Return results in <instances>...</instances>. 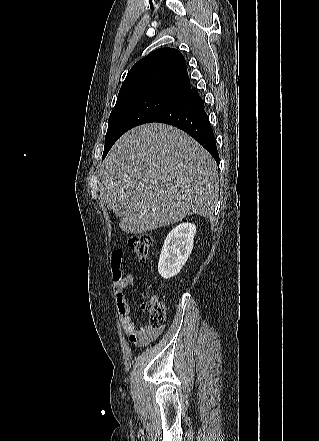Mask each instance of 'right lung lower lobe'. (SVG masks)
<instances>
[{"label": "right lung lower lobe", "mask_w": 319, "mask_h": 441, "mask_svg": "<svg viewBox=\"0 0 319 441\" xmlns=\"http://www.w3.org/2000/svg\"><path fill=\"white\" fill-rule=\"evenodd\" d=\"M175 126L198 141L219 162L213 130L204 110V101L194 89H189L180 99L149 120Z\"/></svg>", "instance_id": "obj_1"}]
</instances>
